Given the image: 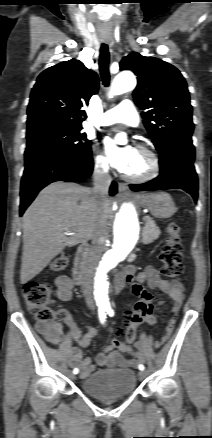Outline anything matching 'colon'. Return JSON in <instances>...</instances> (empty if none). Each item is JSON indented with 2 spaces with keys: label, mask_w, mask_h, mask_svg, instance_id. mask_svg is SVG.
Wrapping results in <instances>:
<instances>
[{
  "label": "colon",
  "mask_w": 212,
  "mask_h": 438,
  "mask_svg": "<svg viewBox=\"0 0 212 438\" xmlns=\"http://www.w3.org/2000/svg\"><path fill=\"white\" fill-rule=\"evenodd\" d=\"M183 246L180 241V227L176 223L167 226L165 243L160 252L162 262L161 273L167 278L175 279L183 272ZM69 262L66 254L57 255L50 263V269L54 272L64 270ZM52 289L46 283L29 282L23 290V299L26 307L40 324H49L53 317L50 308ZM153 312L152 297L149 293L140 297L132 309L125 313V337L128 343H132L136 337L139 326L146 322Z\"/></svg>",
  "instance_id": "obj_1"
}]
</instances>
